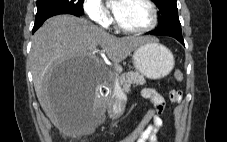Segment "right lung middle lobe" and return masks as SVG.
I'll return each instance as SVG.
<instances>
[{
    "instance_id": "dd1d6c3e",
    "label": "right lung middle lobe",
    "mask_w": 227,
    "mask_h": 142,
    "mask_svg": "<svg viewBox=\"0 0 227 142\" xmlns=\"http://www.w3.org/2000/svg\"><path fill=\"white\" fill-rule=\"evenodd\" d=\"M83 2L84 0H37L36 18L60 13L82 15Z\"/></svg>"
}]
</instances>
